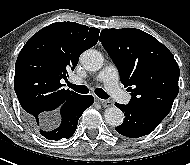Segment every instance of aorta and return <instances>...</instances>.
Wrapping results in <instances>:
<instances>
[{"label": "aorta", "instance_id": "762f6f07", "mask_svg": "<svg viewBox=\"0 0 190 165\" xmlns=\"http://www.w3.org/2000/svg\"><path fill=\"white\" fill-rule=\"evenodd\" d=\"M81 64L88 71H97L103 66V56L100 52L88 49L81 54ZM105 121L111 126H119L122 124L124 115L117 107H110L104 112Z\"/></svg>", "mask_w": 190, "mask_h": 165}]
</instances>
